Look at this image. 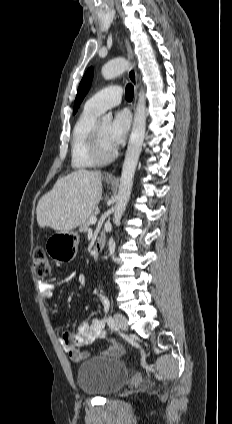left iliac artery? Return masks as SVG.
<instances>
[{
    "instance_id": "1",
    "label": "left iliac artery",
    "mask_w": 232,
    "mask_h": 424,
    "mask_svg": "<svg viewBox=\"0 0 232 424\" xmlns=\"http://www.w3.org/2000/svg\"><path fill=\"white\" fill-rule=\"evenodd\" d=\"M107 324L111 329H116L114 319L111 316H108Z\"/></svg>"
}]
</instances>
